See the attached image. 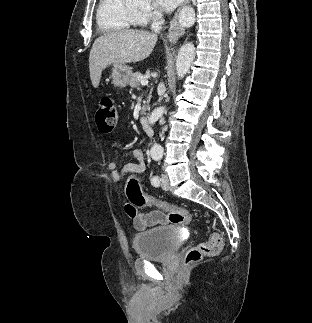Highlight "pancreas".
<instances>
[{"label": "pancreas", "instance_id": "obj_1", "mask_svg": "<svg viewBox=\"0 0 312 323\" xmlns=\"http://www.w3.org/2000/svg\"><path fill=\"white\" fill-rule=\"evenodd\" d=\"M141 80H146L145 76H142L141 72H135V74H131L130 76L129 86H131V88H139ZM151 98L152 96L149 94L146 104H149ZM146 110V106H143L141 114H145Z\"/></svg>", "mask_w": 312, "mask_h": 323}]
</instances>
